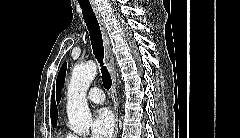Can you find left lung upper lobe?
<instances>
[{
  "instance_id": "5c2ea615",
  "label": "left lung upper lobe",
  "mask_w": 240,
  "mask_h": 138,
  "mask_svg": "<svg viewBox=\"0 0 240 138\" xmlns=\"http://www.w3.org/2000/svg\"><path fill=\"white\" fill-rule=\"evenodd\" d=\"M66 69H67V64L64 62L61 66V69L59 71L58 77H57V91H56V97L57 101L59 102L60 100V90L62 88L63 82L65 80V75H66Z\"/></svg>"
}]
</instances>
